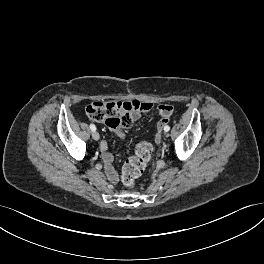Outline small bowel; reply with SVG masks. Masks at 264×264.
I'll return each instance as SVG.
<instances>
[{"instance_id": "small-bowel-1", "label": "small bowel", "mask_w": 264, "mask_h": 264, "mask_svg": "<svg viewBox=\"0 0 264 264\" xmlns=\"http://www.w3.org/2000/svg\"><path fill=\"white\" fill-rule=\"evenodd\" d=\"M123 104L132 108L131 115L133 121L139 119L142 113L149 112L155 108L158 114L160 115L161 119H165L168 123L173 113V107L168 104L155 106L151 102H140L138 100L124 102ZM115 133L120 137L123 136V132L120 128L115 129ZM100 150L102 152V158H103L107 178L110 182L116 183L118 181V174L112 166L113 155L110 152H108L107 142L103 141L100 144Z\"/></svg>"}]
</instances>
